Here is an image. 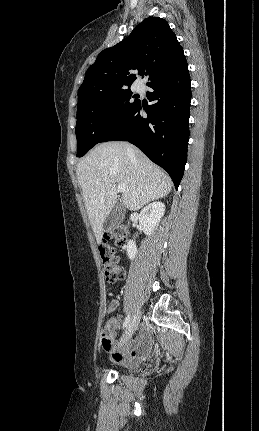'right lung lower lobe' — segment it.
<instances>
[{
    "instance_id": "98d812e1",
    "label": "right lung lower lobe",
    "mask_w": 259,
    "mask_h": 431,
    "mask_svg": "<svg viewBox=\"0 0 259 431\" xmlns=\"http://www.w3.org/2000/svg\"><path fill=\"white\" fill-rule=\"evenodd\" d=\"M154 104L140 102L101 142L124 140L136 145L165 169L177 189L187 161L191 86L188 64L148 85ZM147 113V118L142 113Z\"/></svg>"
}]
</instances>
